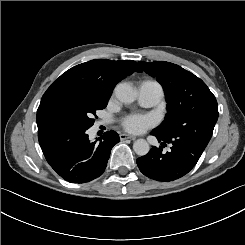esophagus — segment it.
<instances>
[{
  "label": "esophagus",
  "mask_w": 245,
  "mask_h": 245,
  "mask_svg": "<svg viewBox=\"0 0 245 245\" xmlns=\"http://www.w3.org/2000/svg\"><path fill=\"white\" fill-rule=\"evenodd\" d=\"M119 137H120V139H121L122 141H123V140H126V139H135L134 136H132V135H130V134H124V133L120 134Z\"/></svg>",
  "instance_id": "obj_1"
}]
</instances>
